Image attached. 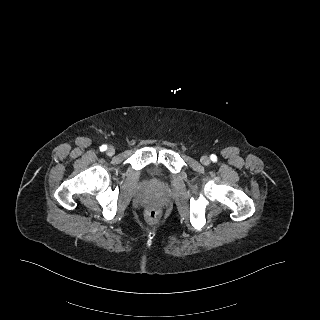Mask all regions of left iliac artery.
<instances>
[{
    "label": "left iliac artery",
    "mask_w": 320,
    "mask_h": 320,
    "mask_svg": "<svg viewBox=\"0 0 320 320\" xmlns=\"http://www.w3.org/2000/svg\"><path fill=\"white\" fill-rule=\"evenodd\" d=\"M210 158H211L212 161H216V159H217L216 155H214V154H212V155L210 156Z\"/></svg>",
    "instance_id": "44dca946"
}]
</instances>
